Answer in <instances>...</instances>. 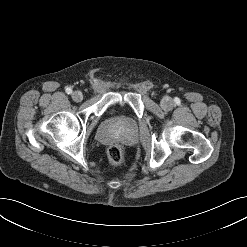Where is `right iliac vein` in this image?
<instances>
[{"instance_id":"obj_1","label":"right iliac vein","mask_w":247,"mask_h":247,"mask_svg":"<svg viewBox=\"0 0 247 247\" xmlns=\"http://www.w3.org/2000/svg\"><path fill=\"white\" fill-rule=\"evenodd\" d=\"M72 99L76 102H80L83 99V94L80 91H74L72 93Z\"/></svg>"}]
</instances>
